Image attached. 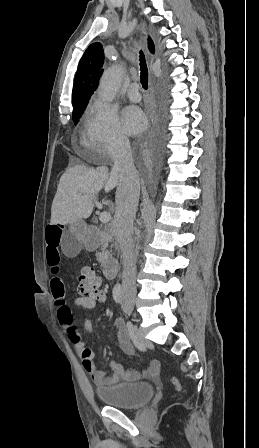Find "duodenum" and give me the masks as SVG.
Segmentation results:
<instances>
[{
	"mask_svg": "<svg viewBox=\"0 0 259 448\" xmlns=\"http://www.w3.org/2000/svg\"><path fill=\"white\" fill-rule=\"evenodd\" d=\"M110 238L111 236L108 232L97 227H91L87 232L86 247L88 250H95ZM102 271L107 279L115 278L117 273V262L113 259L104 261L102 264Z\"/></svg>",
	"mask_w": 259,
	"mask_h": 448,
	"instance_id": "410a0bca",
	"label": "duodenum"
}]
</instances>
